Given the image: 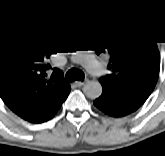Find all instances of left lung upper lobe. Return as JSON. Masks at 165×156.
I'll list each match as a JSON object with an SVG mask.
<instances>
[{"label": "left lung upper lobe", "instance_id": "5c2ea615", "mask_svg": "<svg viewBox=\"0 0 165 156\" xmlns=\"http://www.w3.org/2000/svg\"><path fill=\"white\" fill-rule=\"evenodd\" d=\"M97 55L110 58V74L99 81L119 95L141 106L155 88L160 70V53L155 40L128 24L101 23L91 35Z\"/></svg>", "mask_w": 165, "mask_h": 156}]
</instances>
